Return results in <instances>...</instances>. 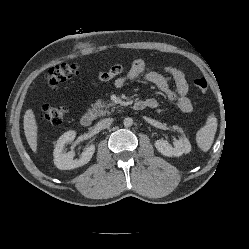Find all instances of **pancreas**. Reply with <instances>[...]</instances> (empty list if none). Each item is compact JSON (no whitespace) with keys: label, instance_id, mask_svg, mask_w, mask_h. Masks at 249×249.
I'll return each mask as SVG.
<instances>
[{"label":"pancreas","instance_id":"1","mask_svg":"<svg viewBox=\"0 0 249 249\" xmlns=\"http://www.w3.org/2000/svg\"><path fill=\"white\" fill-rule=\"evenodd\" d=\"M114 110V103L98 100L92 107V116H105L106 114H111Z\"/></svg>","mask_w":249,"mask_h":249}]
</instances>
